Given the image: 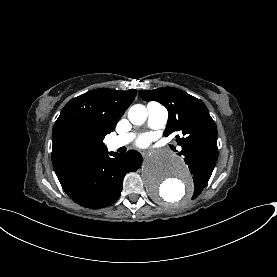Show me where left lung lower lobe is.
I'll list each match as a JSON object with an SVG mask.
<instances>
[{
    "instance_id": "obj_1",
    "label": "left lung lower lobe",
    "mask_w": 277,
    "mask_h": 277,
    "mask_svg": "<svg viewBox=\"0 0 277 277\" xmlns=\"http://www.w3.org/2000/svg\"><path fill=\"white\" fill-rule=\"evenodd\" d=\"M185 157L192 174L207 171L212 172L218 158L217 143L205 142L192 147L182 148L180 152Z\"/></svg>"
}]
</instances>
